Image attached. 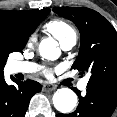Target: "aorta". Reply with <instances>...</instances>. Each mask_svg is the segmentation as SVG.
<instances>
[{
  "label": "aorta",
  "mask_w": 117,
  "mask_h": 117,
  "mask_svg": "<svg viewBox=\"0 0 117 117\" xmlns=\"http://www.w3.org/2000/svg\"><path fill=\"white\" fill-rule=\"evenodd\" d=\"M39 52L42 57L50 60L59 58L61 52L57 42L52 38L42 40L39 45ZM53 105L61 113H70L77 105V95L69 88L58 89L53 95Z\"/></svg>",
  "instance_id": "1"
}]
</instances>
